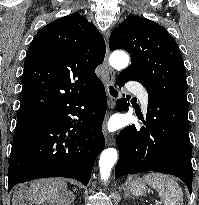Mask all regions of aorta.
<instances>
[{"mask_svg": "<svg viewBox=\"0 0 199 205\" xmlns=\"http://www.w3.org/2000/svg\"><path fill=\"white\" fill-rule=\"evenodd\" d=\"M109 63L116 69L126 68L129 64V56L123 51H115L109 58ZM118 158V152L114 148L105 149L99 159V169L101 179L108 180L112 167L116 163Z\"/></svg>", "mask_w": 199, "mask_h": 205, "instance_id": "aorta-1", "label": "aorta"}]
</instances>
